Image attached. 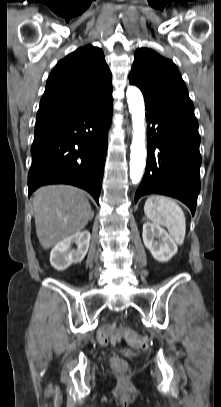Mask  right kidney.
<instances>
[{
    "label": "right kidney",
    "mask_w": 221,
    "mask_h": 407,
    "mask_svg": "<svg viewBox=\"0 0 221 407\" xmlns=\"http://www.w3.org/2000/svg\"><path fill=\"white\" fill-rule=\"evenodd\" d=\"M90 232L84 230L75 233L56 244L50 253V263L58 271L67 269L72 263H80L87 254L90 243ZM77 249L70 250L71 244Z\"/></svg>",
    "instance_id": "right-kidney-1"
}]
</instances>
